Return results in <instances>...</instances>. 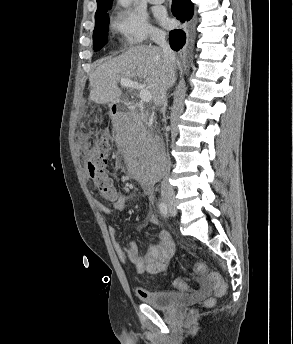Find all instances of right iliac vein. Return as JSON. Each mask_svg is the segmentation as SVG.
Segmentation results:
<instances>
[{"mask_svg":"<svg viewBox=\"0 0 293 344\" xmlns=\"http://www.w3.org/2000/svg\"><path fill=\"white\" fill-rule=\"evenodd\" d=\"M167 205H168L169 208H171V209H175V207H176L175 202H173V201L167 202Z\"/></svg>","mask_w":293,"mask_h":344,"instance_id":"right-iliac-vein-1","label":"right iliac vein"}]
</instances>
